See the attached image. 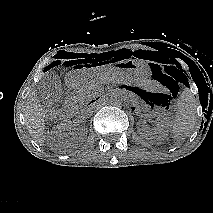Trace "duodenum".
<instances>
[{"label":"duodenum","instance_id":"obj_1","mask_svg":"<svg viewBox=\"0 0 213 213\" xmlns=\"http://www.w3.org/2000/svg\"><path fill=\"white\" fill-rule=\"evenodd\" d=\"M101 100H102L101 97H96V98H94V99L91 101L90 105L95 104V103H97V102H100ZM82 115H83V111H78V112H76V113L74 114V118L78 119V118H80Z\"/></svg>","mask_w":213,"mask_h":213}]
</instances>
